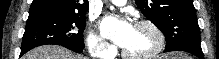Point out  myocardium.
<instances>
[{"label":"myocardium","mask_w":219,"mask_h":59,"mask_svg":"<svg viewBox=\"0 0 219 59\" xmlns=\"http://www.w3.org/2000/svg\"><path fill=\"white\" fill-rule=\"evenodd\" d=\"M135 26L146 27V28L150 29L155 35L156 44L152 50H150L147 53L140 54V55L128 53L124 48H122L121 55L125 59H152L155 56H157L158 54H160L163 51V49L165 47V43H166L165 35H164L163 31L160 29V27L157 24H155L153 21H150V20H140L135 24Z\"/></svg>","instance_id":"obj_1"}]
</instances>
